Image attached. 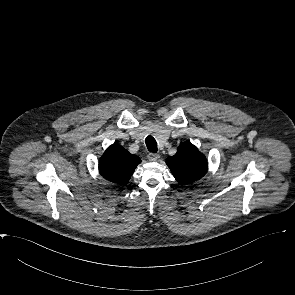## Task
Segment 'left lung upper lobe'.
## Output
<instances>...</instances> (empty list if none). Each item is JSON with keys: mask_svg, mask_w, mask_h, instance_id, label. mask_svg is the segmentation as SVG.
<instances>
[{"mask_svg": "<svg viewBox=\"0 0 295 295\" xmlns=\"http://www.w3.org/2000/svg\"><path fill=\"white\" fill-rule=\"evenodd\" d=\"M166 164L180 184L195 182L207 172L205 156L189 142L182 143L177 153L166 159Z\"/></svg>", "mask_w": 295, "mask_h": 295, "instance_id": "left-lung-upper-lobe-1", "label": "left lung upper lobe"}]
</instances>
